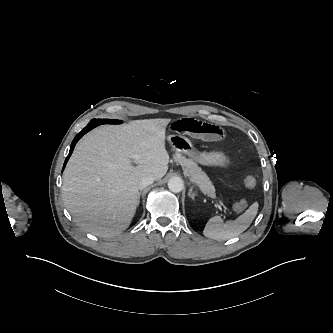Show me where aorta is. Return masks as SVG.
I'll list each match as a JSON object with an SVG mask.
<instances>
[{
	"label": "aorta",
	"mask_w": 333,
	"mask_h": 333,
	"mask_svg": "<svg viewBox=\"0 0 333 333\" xmlns=\"http://www.w3.org/2000/svg\"><path fill=\"white\" fill-rule=\"evenodd\" d=\"M183 180L179 177L171 178L168 181V188L175 193L181 192L183 189Z\"/></svg>",
	"instance_id": "aorta-1"
}]
</instances>
